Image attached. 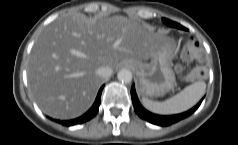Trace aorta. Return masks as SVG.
<instances>
[{
	"label": "aorta",
	"instance_id": "1",
	"mask_svg": "<svg viewBox=\"0 0 238 145\" xmlns=\"http://www.w3.org/2000/svg\"><path fill=\"white\" fill-rule=\"evenodd\" d=\"M117 78L120 82L130 83L132 81V72L129 69H121L117 74Z\"/></svg>",
	"mask_w": 238,
	"mask_h": 145
}]
</instances>
